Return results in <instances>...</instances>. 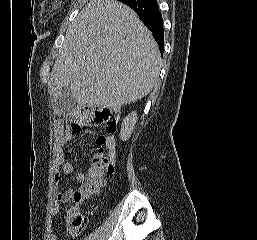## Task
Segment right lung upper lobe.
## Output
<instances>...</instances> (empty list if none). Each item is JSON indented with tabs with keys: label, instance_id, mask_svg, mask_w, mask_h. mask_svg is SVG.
Returning a JSON list of instances; mask_svg holds the SVG:
<instances>
[{
	"label": "right lung upper lobe",
	"instance_id": "right-lung-upper-lobe-1",
	"mask_svg": "<svg viewBox=\"0 0 257 240\" xmlns=\"http://www.w3.org/2000/svg\"><path fill=\"white\" fill-rule=\"evenodd\" d=\"M118 1L125 2V1H127V0H118Z\"/></svg>",
	"mask_w": 257,
	"mask_h": 240
}]
</instances>
